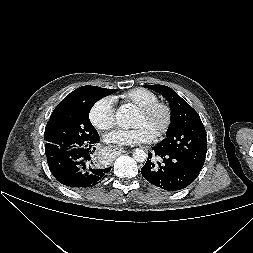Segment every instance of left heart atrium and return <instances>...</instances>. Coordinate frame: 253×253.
I'll return each instance as SVG.
<instances>
[{"instance_id":"1","label":"left heart atrium","mask_w":253,"mask_h":253,"mask_svg":"<svg viewBox=\"0 0 253 253\" xmlns=\"http://www.w3.org/2000/svg\"><path fill=\"white\" fill-rule=\"evenodd\" d=\"M155 135L144 125L135 126L132 129H117L106 135L108 143L119 145H137L151 142Z\"/></svg>"}]
</instances>
